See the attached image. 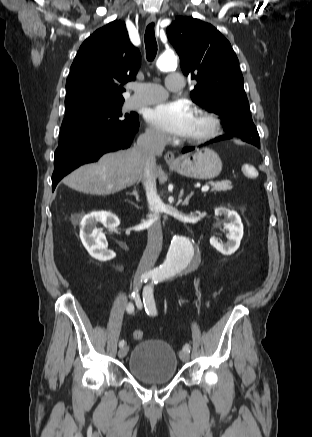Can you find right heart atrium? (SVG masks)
Here are the masks:
<instances>
[{
    "label": "right heart atrium",
    "instance_id": "obj_1",
    "mask_svg": "<svg viewBox=\"0 0 312 437\" xmlns=\"http://www.w3.org/2000/svg\"><path fill=\"white\" fill-rule=\"evenodd\" d=\"M146 136L150 140H152L154 142H158V143H162L166 140V138L163 134H161L158 130H156L155 128H152V127L147 129Z\"/></svg>",
    "mask_w": 312,
    "mask_h": 437
}]
</instances>
